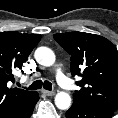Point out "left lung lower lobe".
<instances>
[{
	"label": "left lung lower lobe",
	"instance_id": "left-lung-lower-lobe-1",
	"mask_svg": "<svg viewBox=\"0 0 118 118\" xmlns=\"http://www.w3.org/2000/svg\"><path fill=\"white\" fill-rule=\"evenodd\" d=\"M113 113V110L107 108L73 102L71 108L66 112V118H111Z\"/></svg>",
	"mask_w": 118,
	"mask_h": 118
}]
</instances>
